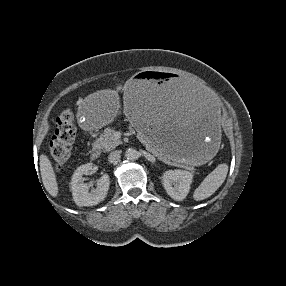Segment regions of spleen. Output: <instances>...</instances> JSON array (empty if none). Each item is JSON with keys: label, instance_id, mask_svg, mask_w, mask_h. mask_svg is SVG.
Masks as SVG:
<instances>
[{"label": "spleen", "instance_id": "3e777b00", "mask_svg": "<svg viewBox=\"0 0 286 286\" xmlns=\"http://www.w3.org/2000/svg\"><path fill=\"white\" fill-rule=\"evenodd\" d=\"M228 173V165H218L201 184L195 189L193 198L196 201L204 200L210 197L223 184Z\"/></svg>", "mask_w": 286, "mask_h": 286}]
</instances>
